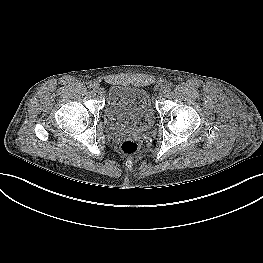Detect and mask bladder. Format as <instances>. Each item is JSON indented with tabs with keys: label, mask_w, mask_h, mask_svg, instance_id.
I'll return each instance as SVG.
<instances>
[{
	"label": "bladder",
	"mask_w": 263,
	"mask_h": 263,
	"mask_svg": "<svg viewBox=\"0 0 263 263\" xmlns=\"http://www.w3.org/2000/svg\"><path fill=\"white\" fill-rule=\"evenodd\" d=\"M104 119L114 132H145L153 125L155 113L145 90L112 85L107 92Z\"/></svg>",
	"instance_id": "31cf9c89"
}]
</instances>
